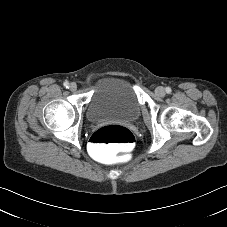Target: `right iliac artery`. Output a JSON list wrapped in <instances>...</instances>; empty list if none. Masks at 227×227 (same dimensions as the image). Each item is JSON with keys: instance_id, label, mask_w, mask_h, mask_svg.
<instances>
[{"instance_id": "82829eb1", "label": "right iliac artery", "mask_w": 227, "mask_h": 227, "mask_svg": "<svg viewBox=\"0 0 227 227\" xmlns=\"http://www.w3.org/2000/svg\"><path fill=\"white\" fill-rule=\"evenodd\" d=\"M69 83L68 82H64V87H66V88H69Z\"/></svg>"}]
</instances>
